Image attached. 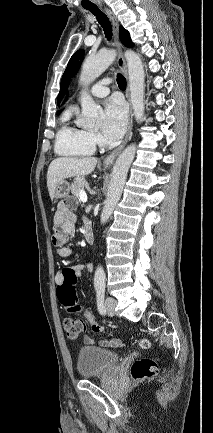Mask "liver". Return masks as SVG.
Returning a JSON list of instances; mask_svg holds the SVG:
<instances>
[{
	"label": "liver",
	"mask_w": 213,
	"mask_h": 433,
	"mask_svg": "<svg viewBox=\"0 0 213 433\" xmlns=\"http://www.w3.org/2000/svg\"><path fill=\"white\" fill-rule=\"evenodd\" d=\"M97 164L95 157H60L54 159L47 172V187L53 199L57 185L66 178L85 176L93 172Z\"/></svg>",
	"instance_id": "6515ba94"
}]
</instances>
